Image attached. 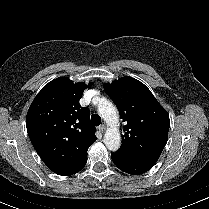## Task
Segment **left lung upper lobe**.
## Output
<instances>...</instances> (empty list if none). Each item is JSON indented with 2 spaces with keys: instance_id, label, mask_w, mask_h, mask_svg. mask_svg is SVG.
Returning a JSON list of instances; mask_svg holds the SVG:
<instances>
[{
  "instance_id": "obj_1",
  "label": "left lung upper lobe",
  "mask_w": 209,
  "mask_h": 209,
  "mask_svg": "<svg viewBox=\"0 0 209 209\" xmlns=\"http://www.w3.org/2000/svg\"><path fill=\"white\" fill-rule=\"evenodd\" d=\"M126 125L119 154L157 161L168 140L170 120L151 91L126 76L104 85Z\"/></svg>"
}]
</instances>
